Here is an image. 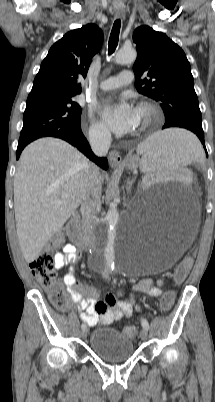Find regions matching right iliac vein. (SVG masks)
I'll return each mask as SVG.
<instances>
[{"mask_svg": "<svg viewBox=\"0 0 215 402\" xmlns=\"http://www.w3.org/2000/svg\"><path fill=\"white\" fill-rule=\"evenodd\" d=\"M81 337H82L83 339L87 337V329H83V330L81 331Z\"/></svg>", "mask_w": 215, "mask_h": 402, "instance_id": "right-iliac-vein-1", "label": "right iliac vein"}]
</instances>
